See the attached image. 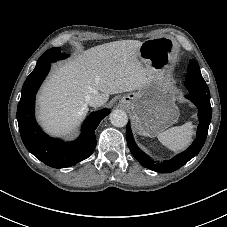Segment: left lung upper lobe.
<instances>
[{
	"instance_id": "1",
	"label": "left lung upper lobe",
	"mask_w": 227,
	"mask_h": 227,
	"mask_svg": "<svg viewBox=\"0 0 227 227\" xmlns=\"http://www.w3.org/2000/svg\"><path fill=\"white\" fill-rule=\"evenodd\" d=\"M185 86L192 94L210 98L208 86L201 75L198 64L193 59L188 65Z\"/></svg>"
}]
</instances>
